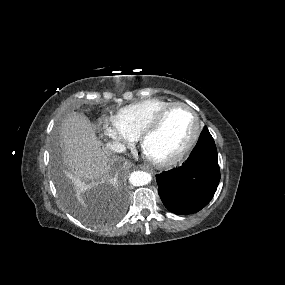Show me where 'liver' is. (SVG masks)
I'll list each match as a JSON object with an SVG mask.
<instances>
[{
	"label": "liver",
	"mask_w": 285,
	"mask_h": 285,
	"mask_svg": "<svg viewBox=\"0 0 285 285\" xmlns=\"http://www.w3.org/2000/svg\"><path fill=\"white\" fill-rule=\"evenodd\" d=\"M61 145L69 174L78 186L103 179L109 171L108 156L101 149L86 117L73 114L61 125Z\"/></svg>",
	"instance_id": "liver-1"
}]
</instances>
